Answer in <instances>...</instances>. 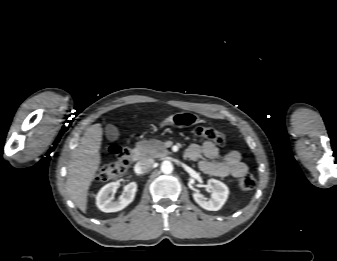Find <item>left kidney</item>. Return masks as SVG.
Here are the masks:
<instances>
[{"label": "left kidney", "instance_id": "left-kidney-1", "mask_svg": "<svg viewBox=\"0 0 337 261\" xmlns=\"http://www.w3.org/2000/svg\"><path fill=\"white\" fill-rule=\"evenodd\" d=\"M208 187L212 190L211 198L209 200H207L199 192H194L193 198L195 202L203 209L208 211H217L221 209V207L226 202L229 189L223 182L216 179H209Z\"/></svg>", "mask_w": 337, "mask_h": 261}]
</instances>
